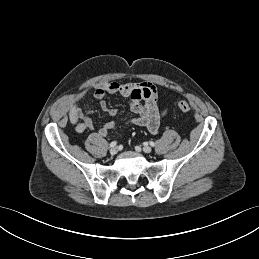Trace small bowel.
<instances>
[{
	"mask_svg": "<svg viewBox=\"0 0 259 259\" xmlns=\"http://www.w3.org/2000/svg\"><path fill=\"white\" fill-rule=\"evenodd\" d=\"M111 94H120L130 99V108L136 117L127 120L125 124L142 126L152 134L158 133L161 120L166 115L167 110H159L158 93L155 86L151 83L136 84L111 81L97 85L93 91L94 97L100 101L101 110L111 118L109 122L97 130L100 137H107L111 131L118 128V123L115 120L118 111L110 107L104 100L106 95ZM86 95L87 90H82L70 96L66 101L68 118L75 125L76 131L80 133L86 130H95L94 121L80 107V103Z\"/></svg>",
	"mask_w": 259,
	"mask_h": 259,
	"instance_id": "small-bowel-1",
	"label": "small bowel"
}]
</instances>
